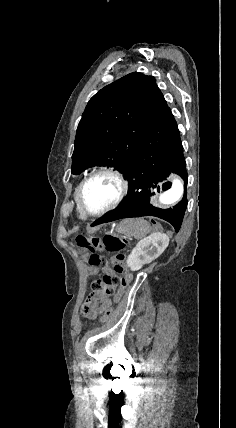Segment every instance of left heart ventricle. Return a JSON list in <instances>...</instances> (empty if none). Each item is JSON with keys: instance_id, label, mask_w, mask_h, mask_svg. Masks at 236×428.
Segmentation results:
<instances>
[{"instance_id": "left-heart-ventricle-1", "label": "left heart ventricle", "mask_w": 236, "mask_h": 428, "mask_svg": "<svg viewBox=\"0 0 236 428\" xmlns=\"http://www.w3.org/2000/svg\"><path fill=\"white\" fill-rule=\"evenodd\" d=\"M119 190L120 186L116 179L108 175L98 176L85 186V203L93 211L101 210L116 199Z\"/></svg>"}]
</instances>
